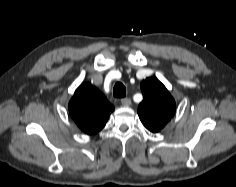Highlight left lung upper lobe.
Here are the masks:
<instances>
[{
  "mask_svg": "<svg viewBox=\"0 0 236 187\" xmlns=\"http://www.w3.org/2000/svg\"><path fill=\"white\" fill-rule=\"evenodd\" d=\"M143 101L138 106V115L143 125L151 132H159L172 118L176 104L166 87L156 78H147L141 83Z\"/></svg>",
  "mask_w": 236,
  "mask_h": 187,
  "instance_id": "left-lung-upper-lobe-1",
  "label": "left lung upper lobe"
}]
</instances>
